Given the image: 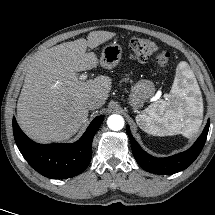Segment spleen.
Here are the masks:
<instances>
[{"label": "spleen", "instance_id": "spleen-1", "mask_svg": "<svg viewBox=\"0 0 215 215\" xmlns=\"http://www.w3.org/2000/svg\"><path fill=\"white\" fill-rule=\"evenodd\" d=\"M203 100L200 88L189 65L182 61L167 100L151 104L136 116L145 132L155 136L182 134L193 137L202 124Z\"/></svg>", "mask_w": 215, "mask_h": 215}]
</instances>
